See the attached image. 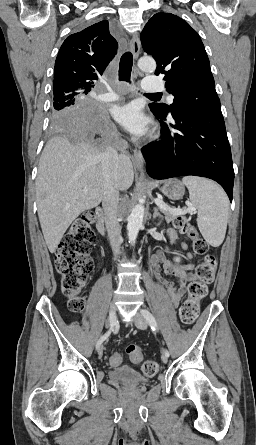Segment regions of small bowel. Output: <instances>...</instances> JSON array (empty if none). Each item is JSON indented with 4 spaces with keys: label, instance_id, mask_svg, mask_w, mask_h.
<instances>
[{
    "label": "small bowel",
    "instance_id": "small-bowel-1",
    "mask_svg": "<svg viewBox=\"0 0 256 445\" xmlns=\"http://www.w3.org/2000/svg\"><path fill=\"white\" fill-rule=\"evenodd\" d=\"M169 249L166 248L152 256L151 263L154 272L157 274L162 268L164 274L172 279H163L158 276L159 281L165 286L171 303L177 307L182 300L188 283L196 279V275L190 271L193 263L188 261L185 264H175L168 258ZM189 260V257H185Z\"/></svg>",
    "mask_w": 256,
    "mask_h": 445
}]
</instances>
